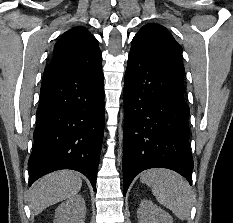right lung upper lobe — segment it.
I'll return each instance as SVG.
<instances>
[{
    "label": "right lung upper lobe",
    "mask_w": 233,
    "mask_h": 223,
    "mask_svg": "<svg viewBox=\"0 0 233 223\" xmlns=\"http://www.w3.org/2000/svg\"><path fill=\"white\" fill-rule=\"evenodd\" d=\"M102 62L97 39L82 26L65 32L54 46L53 58L44 70V79L86 71Z\"/></svg>",
    "instance_id": "obj_1"
}]
</instances>
